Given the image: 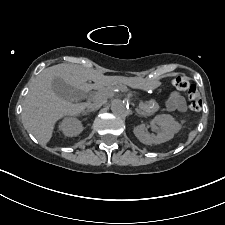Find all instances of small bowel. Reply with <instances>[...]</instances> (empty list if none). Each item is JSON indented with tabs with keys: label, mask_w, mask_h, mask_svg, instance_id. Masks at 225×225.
I'll use <instances>...</instances> for the list:
<instances>
[{
	"label": "small bowel",
	"mask_w": 225,
	"mask_h": 225,
	"mask_svg": "<svg viewBox=\"0 0 225 225\" xmlns=\"http://www.w3.org/2000/svg\"><path fill=\"white\" fill-rule=\"evenodd\" d=\"M166 109L169 111H186V103L184 97L179 93H172L166 101Z\"/></svg>",
	"instance_id": "small-bowel-1"
}]
</instances>
